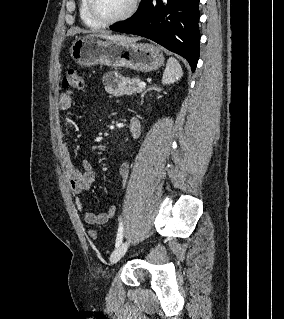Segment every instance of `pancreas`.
Instances as JSON below:
<instances>
[{
  "instance_id": "1",
  "label": "pancreas",
  "mask_w": 284,
  "mask_h": 319,
  "mask_svg": "<svg viewBox=\"0 0 284 319\" xmlns=\"http://www.w3.org/2000/svg\"><path fill=\"white\" fill-rule=\"evenodd\" d=\"M112 78L113 80H109ZM105 89L108 93L114 96L132 95L142 91L143 88L137 86L140 82L139 77L128 78L118 75L116 72H108L103 76Z\"/></svg>"
}]
</instances>
